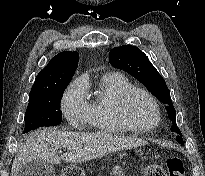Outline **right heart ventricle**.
<instances>
[{
  "instance_id": "obj_1",
  "label": "right heart ventricle",
  "mask_w": 205,
  "mask_h": 176,
  "mask_svg": "<svg viewBox=\"0 0 205 176\" xmlns=\"http://www.w3.org/2000/svg\"><path fill=\"white\" fill-rule=\"evenodd\" d=\"M133 87L130 80L116 72L104 74L93 98L89 101L88 118L95 131L102 134H121L131 131L119 112V100Z\"/></svg>"
}]
</instances>
